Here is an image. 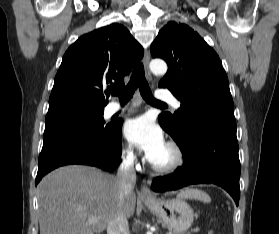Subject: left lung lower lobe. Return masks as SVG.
<instances>
[{
    "instance_id": "left-lung-lower-lobe-1",
    "label": "left lung lower lobe",
    "mask_w": 279,
    "mask_h": 234,
    "mask_svg": "<svg viewBox=\"0 0 279 234\" xmlns=\"http://www.w3.org/2000/svg\"><path fill=\"white\" fill-rule=\"evenodd\" d=\"M181 152L182 167L168 176L155 178L154 191L213 183L224 188L238 206L240 161L234 120L202 118L193 121L188 128L186 147Z\"/></svg>"
}]
</instances>
